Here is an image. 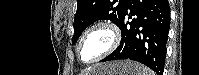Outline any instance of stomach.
I'll list each match as a JSON object with an SVG mask.
<instances>
[{"label": "stomach", "mask_w": 199, "mask_h": 75, "mask_svg": "<svg viewBox=\"0 0 199 75\" xmlns=\"http://www.w3.org/2000/svg\"><path fill=\"white\" fill-rule=\"evenodd\" d=\"M143 66L132 61H113L97 64L88 75H141Z\"/></svg>", "instance_id": "stomach-1"}]
</instances>
